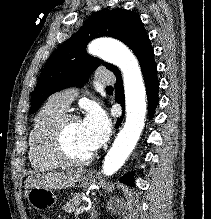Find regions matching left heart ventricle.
<instances>
[{"mask_svg":"<svg viewBox=\"0 0 211 219\" xmlns=\"http://www.w3.org/2000/svg\"><path fill=\"white\" fill-rule=\"evenodd\" d=\"M65 143L68 151L77 158L86 157L93 152L82 134L80 121H72L69 124L65 135Z\"/></svg>","mask_w":211,"mask_h":219,"instance_id":"left-heart-ventricle-1","label":"left heart ventricle"}]
</instances>
